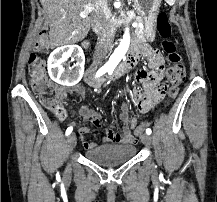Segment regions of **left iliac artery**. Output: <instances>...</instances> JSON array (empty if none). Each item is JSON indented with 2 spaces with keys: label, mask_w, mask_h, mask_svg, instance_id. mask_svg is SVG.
Listing matches in <instances>:
<instances>
[{
  "label": "left iliac artery",
  "mask_w": 217,
  "mask_h": 202,
  "mask_svg": "<svg viewBox=\"0 0 217 202\" xmlns=\"http://www.w3.org/2000/svg\"><path fill=\"white\" fill-rule=\"evenodd\" d=\"M146 133H147L148 135H150V134L152 133L151 129H150V128H147V129H146Z\"/></svg>",
  "instance_id": "44dca946"
}]
</instances>
